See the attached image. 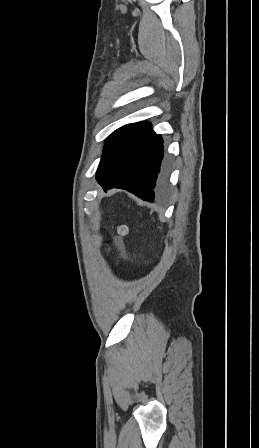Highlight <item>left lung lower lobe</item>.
I'll return each instance as SVG.
<instances>
[{"instance_id":"obj_1","label":"left lung lower lobe","mask_w":259,"mask_h":448,"mask_svg":"<svg viewBox=\"0 0 259 448\" xmlns=\"http://www.w3.org/2000/svg\"><path fill=\"white\" fill-rule=\"evenodd\" d=\"M163 139L148 121L121 127L104 145L96 180L106 192L125 189L146 201L163 191L169 164L163 160Z\"/></svg>"}]
</instances>
